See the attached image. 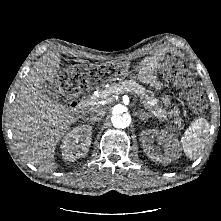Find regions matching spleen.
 Masks as SVG:
<instances>
[{
  "instance_id": "3e777b00",
  "label": "spleen",
  "mask_w": 221,
  "mask_h": 221,
  "mask_svg": "<svg viewBox=\"0 0 221 221\" xmlns=\"http://www.w3.org/2000/svg\"><path fill=\"white\" fill-rule=\"evenodd\" d=\"M209 127L207 120L196 119L181 138L183 150L190 159H195L204 149L209 137Z\"/></svg>"
}]
</instances>
